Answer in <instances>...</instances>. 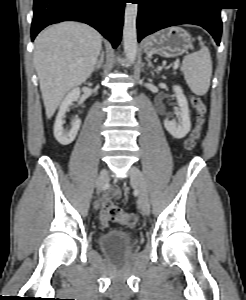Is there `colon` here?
Instances as JSON below:
<instances>
[{
	"instance_id": "colon-1",
	"label": "colon",
	"mask_w": 246,
	"mask_h": 300,
	"mask_svg": "<svg viewBox=\"0 0 246 300\" xmlns=\"http://www.w3.org/2000/svg\"><path fill=\"white\" fill-rule=\"evenodd\" d=\"M191 103L195 108L197 115L195 126L184 143V146L188 151L195 148L197 141L201 136L207 112L206 106L199 96H192ZM102 213L108 220L124 226H133L136 222V216L134 214L124 212L119 206L113 204L109 199H106L103 202Z\"/></svg>"
}]
</instances>
